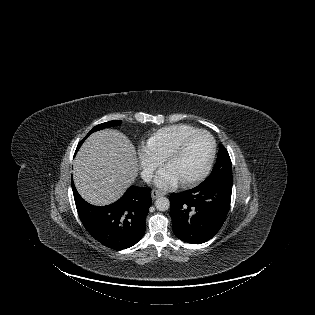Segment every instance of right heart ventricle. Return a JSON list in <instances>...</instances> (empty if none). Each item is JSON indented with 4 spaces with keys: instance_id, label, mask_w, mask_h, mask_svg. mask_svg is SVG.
Instances as JSON below:
<instances>
[{
    "instance_id": "e07e8e85",
    "label": "right heart ventricle",
    "mask_w": 315,
    "mask_h": 315,
    "mask_svg": "<svg viewBox=\"0 0 315 315\" xmlns=\"http://www.w3.org/2000/svg\"><path fill=\"white\" fill-rule=\"evenodd\" d=\"M196 130L197 128L187 124L165 126L154 131L148 137L146 146L162 161L184 136Z\"/></svg>"
}]
</instances>
